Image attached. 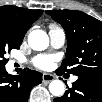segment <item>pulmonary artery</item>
Returning <instances> with one entry per match:
<instances>
[{"label": "pulmonary artery", "instance_id": "obj_1", "mask_svg": "<svg viewBox=\"0 0 102 102\" xmlns=\"http://www.w3.org/2000/svg\"><path fill=\"white\" fill-rule=\"evenodd\" d=\"M49 38L51 45L58 49L61 48L65 43V33L62 29H50L49 31Z\"/></svg>", "mask_w": 102, "mask_h": 102}]
</instances>
